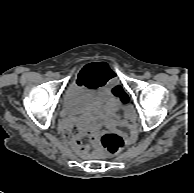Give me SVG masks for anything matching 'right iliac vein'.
Returning a JSON list of instances; mask_svg holds the SVG:
<instances>
[{
	"label": "right iliac vein",
	"instance_id": "63e3f726",
	"mask_svg": "<svg viewBox=\"0 0 194 193\" xmlns=\"http://www.w3.org/2000/svg\"><path fill=\"white\" fill-rule=\"evenodd\" d=\"M53 77H54L55 79H59V78H60V74H59V73H55V74H53Z\"/></svg>",
	"mask_w": 194,
	"mask_h": 193
}]
</instances>
